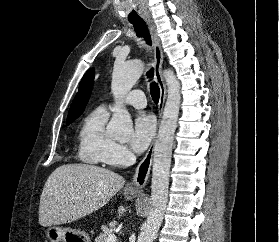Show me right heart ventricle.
<instances>
[{"label": "right heart ventricle", "mask_w": 279, "mask_h": 242, "mask_svg": "<svg viewBox=\"0 0 279 242\" xmlns=\"http://www.w3.org/2000/svg\"><path fill=\"white\" fill-rule=\"evenodd\" d=\"M107 119V110L104 107H98L82 121L78 133V156L83 162L107 163L116 144L105 130Z\"/></svg>", "instance_id": "1"}]
</instances>
